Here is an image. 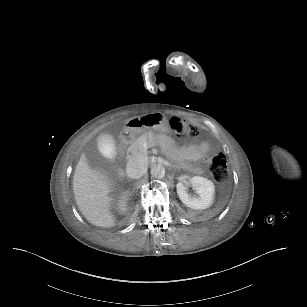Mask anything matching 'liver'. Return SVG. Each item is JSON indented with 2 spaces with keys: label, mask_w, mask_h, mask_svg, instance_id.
I'll return each mask as SVG.
<instances>
[{
  "label": "liver",
  "mask_w": 307,
  "mask_h": 307,
  "mask_svg": "<svg viewBox=\"0 0 307 307\" xmlns=\"http://www.w3.org/2000/svg\"><path fill=\"white\" fill-rule=\"evenodd\" d=\"M113 186L109 176L98 167L92 168L83 154L74 172L73 193L79 211L89 223L101 228L116 226L114 198L109 196Z\"/></svg>",
  "instance_id": "1"
}]
</instances>
